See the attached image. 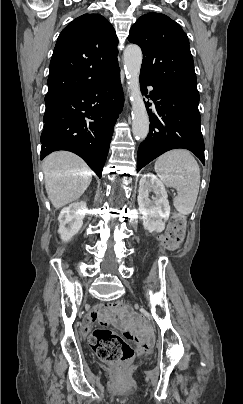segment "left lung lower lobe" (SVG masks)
Here are the masks:
<instances>
[{
  "label": "left lung lower lobe",
  "mask_w": 243,
  "mask_h": 404,
  "mask_svg": "<svg viewBox=\"0 0 243 404\" xmlns=\"http://www.w3.org/2000/svg\"><path fill=\"white\" fill-rule=\"evenodd\" d=\"M141 91L147 94L146 85L153 86L150 97L154 100L156 113L148 110L149 134L137 154V172L150 161L166 151L184 148L192 151L203 164L204 140L198 110L197 89L159 83L140 77ZM151 104L146 103V107Z\"/></svg>",
  "instance_id": "left-lung-lower-lobe-1"
}]
</instances>
